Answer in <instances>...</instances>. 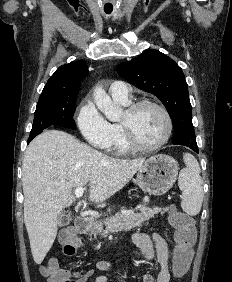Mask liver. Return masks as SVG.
<instances>
[{"instance_id":"obj_1","label":"liver","mask_w":232,"mask_h":282,"mask_svg":"<svg viewBox=\"0 0 232 282\" xmlns=\"http://www.w3.org/2000/svg\"><path fill=\"white\" fill-rule=\"evenodd\" d=\"M144 162L107 156L61 130L34 138L22 165L24 223L34 261L40 264L53 245L58 217L73 202V188L88 185V200L104 206Z\"/></svg>"}]
</instances>
